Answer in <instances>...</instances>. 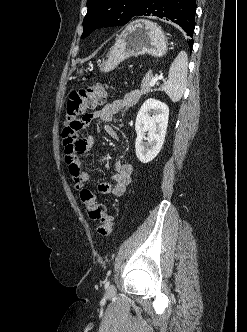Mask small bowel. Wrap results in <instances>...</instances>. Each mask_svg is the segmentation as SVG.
I'll return each instance as SVG.
<instances>
[{"label": "small bowel", "instance_id": "small-bowel-1", "mask_svg": "<svg viewBox=\"0 0 247 332\" xmlns=\"http://www.w3.org/2000/svg\"><path fill=\"white\" fill-rule=\"evenodd\" d=\"M138 99L139 91L132 90L122 98L104 105L100 110L87 114L85 123L88 124L92 120L103 121L106 123L104 126L106 134L113 139H118V133L111 122L118 113L132 108L138 102ZM93 142L92 137L79 138L77 133L64 140L65 161L77 190L85 189V185L89 181V174L79 155L87 153ZM114 170L115 173L110 181L102 182L97 186L98 193L113 197H120L124 193L131 182L133 167L129 163L115 161Z\"/></svg>", "mask_w": 247, "mask_h": 332}]
</instances>
